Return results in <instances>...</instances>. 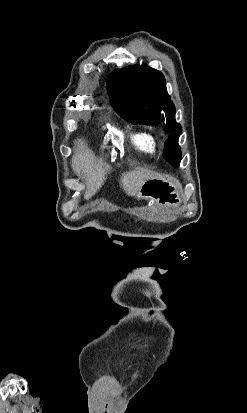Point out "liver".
<instances>
[{
    "mask_svg": "<svg viewBox=\"0 0 247 413\" xmlns=\"http://www.w3.org/2000/svg\"><path fill=\"white\" fill-rule=\"evenodd\" d=\"M77 150L72 158V168L76 172L77 176H82L87 180L86 190L84 198L89 200L92 194L97 192L98 188H101L104 184L105 174H107L108 168L103 166L101 160H95V154H93L90 148H87L82 138H77ZM160 176L154 170L149 168H137V170H129V172H123L120 182L123 190L129 196H134L139 192L143 182L148 178H156Z\"/></svg>",
    "mask_w": 247,
    "mask_h": 413,
    "instance_id": "liver-1",
    "label": "liver"
}]
</instances>
